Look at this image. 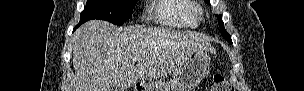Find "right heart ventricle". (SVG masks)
<instances>
[{"label": "right heart ventricle", "instance_id": "obj_1", "mask_svg": "<svg viewBox=\"0 0 304 91\" xmlns=\"http://www.w3.org/2000/svg\"><path fill=\"white\" fill-rule=\"evenodd\" d=\"M158 23L176 28H195L200 21V11L194 1L159 0L152 9Z\"/></svg>", "mask_w": 304, "mask_h": 91}]
</instances>
